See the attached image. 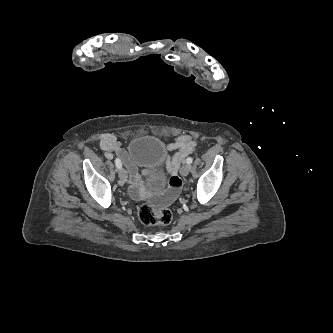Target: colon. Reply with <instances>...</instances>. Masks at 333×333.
<instances>
[{"label": "colon", "instance_id": "colon-1", "mask_svg": "<svg viewBox=\"0 0 333 333\" xmlns=\"http://www.w3.org/2000/svg\"><path fill=\"white\" fill-rule=\"evenodd\" d=\"M141 223L147 226L166 225L172 220L171 211L167 208L154 207L150 203H143L138 209Z\"/></svg>", "mask_w": 333, "mask_h": 333}]
</instances>
